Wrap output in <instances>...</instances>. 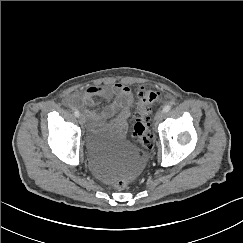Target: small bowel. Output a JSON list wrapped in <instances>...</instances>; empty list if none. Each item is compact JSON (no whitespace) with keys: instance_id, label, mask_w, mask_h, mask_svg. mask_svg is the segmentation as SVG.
Segmentation results:
<instances>
[{"instance_id":"obj_1","label":"small bowel","mask_w":243,"mask_h":243,"mask_svg":"<svg viewBox=\"0 0 243 243\" xmlns=\"http://www.w3.org/2000/svg\"><path fill=\"white\" fill-rule=\"evenodd\" d=\"M104 100L107 105L100 111L92 108L96 100ZM67 103L72 108H82L93 121L111 119L121 133H125L127 119L131 114L133 93L131 89L122 83L108 85H91L83 91L71 94Z\"/></svg>"}]
</instances>
